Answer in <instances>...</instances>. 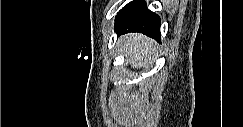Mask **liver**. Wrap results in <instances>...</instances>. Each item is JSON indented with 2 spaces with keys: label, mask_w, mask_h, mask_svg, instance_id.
Listing matches in <instances>:
<instances>
[{
  "label": "liver",
  "mask_w": 243,
  "mask_h": 127,
  "mask_svg": "<svg viewBox=\"0 0 243 127\" xmlns=\"http://www.w3.org/2000/svg\"><path fill=\"white\" fill-rule=\"evenodd\" d=\"M132 68L149 66L156 50L153 39L142 34H127L120 39Z\"/></svg>",
  "instance_id": "liver-1"
}]
</instances>
